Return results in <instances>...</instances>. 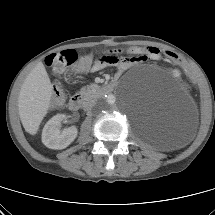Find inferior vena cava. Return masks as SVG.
Here are the masks:
<instances>
[{"label": "inferior vena cava", "instance_id": "obj_1", "mask_svg": "<svg viewBox=\"0 0 215 215\" xmlns=\"http://www.w3.org/2000/svg\"><path fill=\"white\" fill-rule=\"evenodd\" d=\"M96 105V102L94 100L85 102L83 105L84 110H91Z\"/></svg>", "mask_w": 215, "mask_h": 215}]
</instances>
